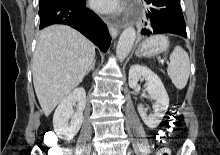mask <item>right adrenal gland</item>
Returning <instances> with one entry per match:
<instances>
[{
  "mask_svg": "<svg viewBox=\"0 0 220 155\" xmlns=\"http://www.w3.org/2000/svg\"><path fill=\"white\" fill-rule=\"evenodd\" d=\"M95 62H96V60H93L91 66L88 68V70H87V72H86V75H87L91 70H94V68H95Z\"/></svg>",
  "mask_w": 220,
  "mask_h": 155,
  "instance_id": "1",
  "label": "right adrenal gland"
}]
</instances>
